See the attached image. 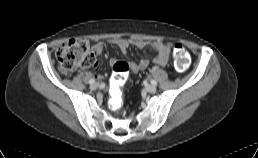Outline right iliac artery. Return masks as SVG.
Returning a JSON list of instances; mask_svg holds the SVG:
<instances>
[{
    "mask_svg": "<svg viewBox=\"0 0 258 158\" xmlns=\"http://www.w3.org/2000/svg\"><path fill=\"white\" fill-rule=\"evenodd\" d=\"M94 82H95L94 79H90V80H89V83H90V84H93Z\"/></svg>",
    "mask_w": 258,
    "mask_h": 158,
    "instance_id": "right-iliac-artery-1",
    "label": "right iliac artery"
}]
</instances>
